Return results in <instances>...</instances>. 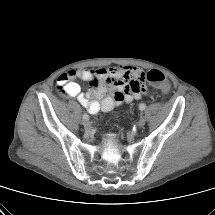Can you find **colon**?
Instances as JSON below:
<instances>
[{
	"instance_id": "obj_1",
	"label": "colon",
	"mask_w": 215,
	"mask_h": 215,
	"mask_svg": "<svg viewBox=\"0 0 215 215\" xmlns=\"http://www.w3.org/2000/svg\"><path fill=\"white\" fill-rule=\"evenodd\" d=\"M144 77L146 78V80L149 83H151L152 85H154L164 91L168 90V88H169V84H168V81H167L165 75L159 70L152 69L149 72H147V74ZM134 88L137 89L138 86L134 85ZM59 91H60V93L64 92L62 86H59Z\"/></svg>"
}]
</instances>
